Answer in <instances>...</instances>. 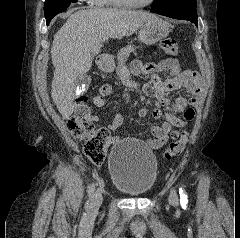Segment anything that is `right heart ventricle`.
I'll list each match as a JSON object with an SVG mask.
<instances>
[{
  "label": "right heart ventricle",
  "mask_w": 240,
  "mask_h": 238,
  "mask_svg": "<svg viewBox=\"0 0 240 238\" xmlns=\"http://www.w3.org/2000/svg\"><path fill=\"white\" fill-rule=\"evenodd\" d=\"M101 5H113V6H116L117 4L115 3L114 0H104V2L101 4Z\"/></svg>",
  "instance_id": "obj_1"
}]
</instances>
